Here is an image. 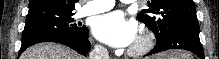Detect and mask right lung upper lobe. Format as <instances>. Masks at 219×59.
Listing matches in <instances>:
<instances>
[{
    "label": "right lung upper lobe",
    "instance_id": "1",
    "mask_svg": "<svg viewBox=\"0 0 219 59\" xmlns=\"http://www.w3.org/2000/svg\"><path fill=\"white\" fill-rule=\"evenodd\" d=\"M75 2H77V0H30L28 13L37 10L72 12L75 9Z\"/></svg>",
    "mask_w": 219,
    "mask_h": 59
}]
</instances>
